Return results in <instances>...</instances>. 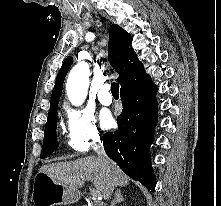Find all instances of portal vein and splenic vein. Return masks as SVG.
I'll use <instances>...</instances> for the list:
<instances>
[{"label": "portal vein and splenic vein", "mask_w": 221, "mask_h": 206, "mask_svg": "<svg viewBox=\"0 0 221 206\" xmlns=\"http://www.w3.org/2000/svg\"><path fill=\"white\" fill-rule=\"evenodd\" d=\"M91 196H92L93 199H101L102 198L100 192L99 191H94V190L91 191Z\"/></svg>", "instance_id": "18ae733b"}]
</instances>
